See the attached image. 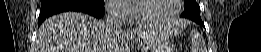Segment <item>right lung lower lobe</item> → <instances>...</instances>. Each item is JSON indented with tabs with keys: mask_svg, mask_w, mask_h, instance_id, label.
<instances>
[{
	"mask_svg": "<svg viewBox=\"0 0 261 52\" xmlns=\"http://www.w3.org/2000/svg\"><path fill=\"white\" fill-rule=\"evenodd\" d=\"M66 11H77L101 18L104 13L102 0H41L39 25L49 16Z\"/></svg>",
	"mask_w": 261,
	"mask_h": 52,
	"instance_id": "98d812e1",
	"label": "right lung lower lobe"
}]
</instances>
